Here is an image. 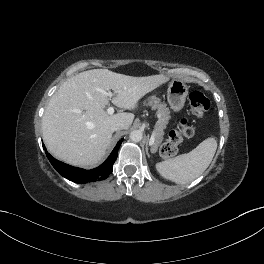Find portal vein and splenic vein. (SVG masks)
<instances>
[{
  "label": "portal vein and splenic vein",
  "instance_id": "portal-vein-and-splenic-vein-1",
  "mask_svg": "<svg viewBox=\"0 0 264 264\" xmlns=\"http://www.w3.org/2000/svg\"><path fill=\"white\" fill-rule=\"evenodd\" d=\"M114 94L112 92H108L107 93V96L109 97H112ZM107 113L112 115L114 113V108L113 107H109L107 109ZM154 140H155V132L153 131L152 134H151V138H150V144L152 145L154 143Z\"/></svg>",
  "mask_w": 264,
  "mask_h": 264
}]
</instances>
